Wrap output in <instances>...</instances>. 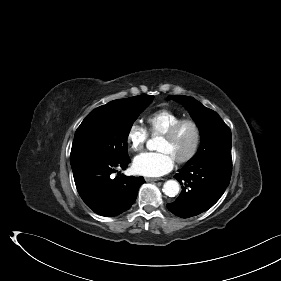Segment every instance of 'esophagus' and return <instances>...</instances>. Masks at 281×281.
<instances>
[{"label":"esophagus","mask_w":281,"mask_h":281,"mask_svg":"<svg viewBox=\"0 0 281 281\" xmlns=\"http://www.w3.org/2000/svg\"><path fill=\"white\" fill-rule=\"evenodd\" d=\"M146 182H155L161 180L160 178H145Z\"/></svg>","instance_id":"1"}]
</instances>
